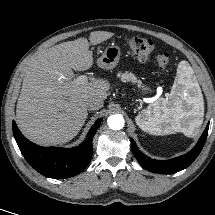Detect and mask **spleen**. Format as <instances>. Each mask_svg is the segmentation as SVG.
I'll list each match as a JSON object with an SVG mask.
<instances>
[{
	"mask_svg": "<svg viewBox=\"0 0 215 215\" xmlns=\"http://www.w3.org/2000/svg\"><path fill=\"white\" fill-rule=\"evenodd\" d=\"M204 116V101L192 67L181 61L169 98H160L137 115L145 132L169 135L182 132L187 137L198 133Z\"/></svg>",
	"mask_w": 215,
	"mask_h": 215,
	"instance_id": "1",
	"label": "spleen"
}]
</instances>
